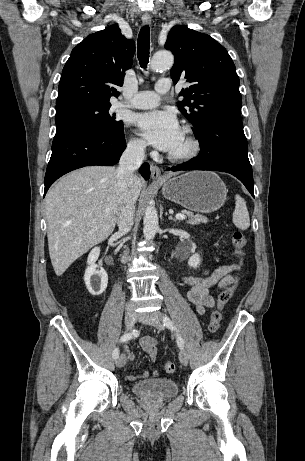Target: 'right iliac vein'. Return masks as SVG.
Instances as JSON below:
<instances>
[{
    "label": "right iliac vein",
    "mask_w": 305,
    "mask_h": 461,
    "mask_svg": "<svg viewBox=\"0 0 305 461\" xmlns=\"http://www.w3.org/2000/svg\"><path fill=\"white\" fill-rule=\"evenodd\" d=\"M124 321H125L126 328L128 330H131L137 321V315L133 309L130 308L126 310ZM125 363H126V356L124 354H121L116 360V365L117 367L121 368L125 365Z\"/></svg>",
    "instance_id": "63e3f726"
}]
</instances>
